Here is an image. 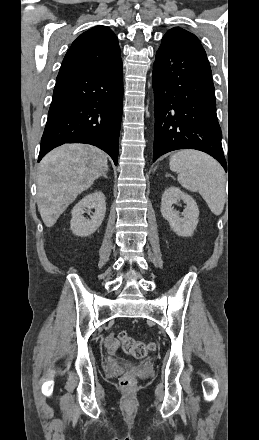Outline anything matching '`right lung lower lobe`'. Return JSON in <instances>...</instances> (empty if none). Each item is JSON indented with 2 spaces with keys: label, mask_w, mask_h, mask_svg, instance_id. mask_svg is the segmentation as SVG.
<instances>
[{
  "label": "right lung lower lobe",
  "mask_w": 259,
  "mask_h": 440,
  "mask_svg": "<svg viewBox=\"0 0 259 440\" xmlns=\"http://www.w3.org/2000/svg\"><path fill=\"white\" fill-rule=\"evenodd\" d=\"M122 109L121 58L87 72L58 75L38 162L64 143H86L117 164Z\"/></svg>",
  "instance_id": "right-lung-lower-lobe-1"
}]
</instances>
